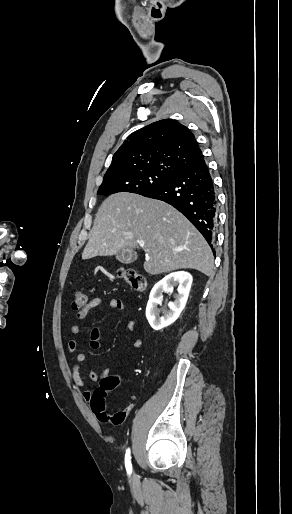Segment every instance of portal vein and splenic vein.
<instances>
[{
	"mask_svg": "<svg viewBox=\"0 0 292 514\" xmlns=\"http://www.w3.org/2000/svg\"><path fill=\"white\" fill-rule=\"evenodd\" d=\"M141 246H144V244H141ZM175 252H180V250H175Z\"/></svg>",
	"mask_w": 292,
	"mask_h": 514,
	"instance_id": "portal-vein-and-splenic-vein-1",
	"label": "portal vein and splenic vein"
}]
</instances>
